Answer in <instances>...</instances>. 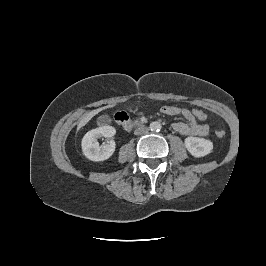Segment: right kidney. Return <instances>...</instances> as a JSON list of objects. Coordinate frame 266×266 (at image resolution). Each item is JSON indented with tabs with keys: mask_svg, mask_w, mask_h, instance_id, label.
Listing matches in <instances>:
<instances>
[{
	"mask_svg": "<svg viewBox=\"0 0 266 266\" xmlns=\"http://www.w3.org/2000/svg\"><path fill=\"white\" fill-rule=\"evenodd\" d=\"M116 130L112 126H102L93 129L85 134L82 139V151L84 155L91 161H104L110 158L115 151V142L107 141L103 146H99L98 138H110L114 136Z\"/></svg>",
	"mask_w": 266,
	"mask_h": 266,
	"instance_id": "ca27d5eb",
	"label": "right kidney"
}]
</instances>
